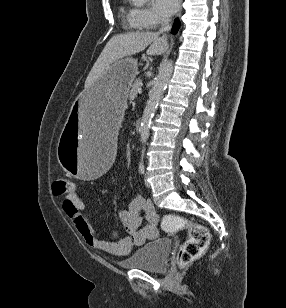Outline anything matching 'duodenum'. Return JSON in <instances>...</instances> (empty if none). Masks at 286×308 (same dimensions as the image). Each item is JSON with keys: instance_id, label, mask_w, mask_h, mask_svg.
<instances>
[{"instance_id": "1", "label": "duodenum", "mask_w": 286, "mask_h": 308, "mask_svg": "<svg viewBox=\"0 0 286 308\" xmlns=\"http://www.w3.org/2000/svg\"><path fill=\"white\" fill-rule=\"evenodd\" d=\"M140 126H141V122H140V120H137V121L135 122V129H136V130H139V129H140Z\"/></svg>"}]
</instances>
